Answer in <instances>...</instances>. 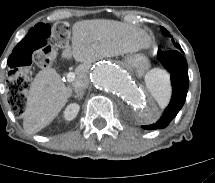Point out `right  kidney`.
<instances>
[{"label":"right kidney","mask_w":215,"mask_h":183,"mask_svg":"<svg viewBox=\"0 0 215 183\" xmlns=\"http://www.w3.org/2000/svg\"><path fill=\"white\" fill-rule=\"evenodd\" d=\"M79 109L80 106L78 104L76 103L69 104L64 110L63 117L67 121H71L77 116Z\"/></svg>","instance_id":"obj_1"}]
</instances>
